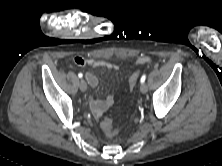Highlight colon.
<instances>
[{
    "instance_id": "1",
    "label": "colon",
    "mask_w": 222,
    "mask_h": 166,
    "mask_svg": "<svg viewBox=\"0 0 222 166\" xmlns=\"http://www.w3.org/2000/svg\"><path fill=\"white\" fill-rule=\"evenodd\" d=\"M138 78H139L138 71H135L130 75V77H129L130 89H133L136 86ZM100 126L108 137H113L117 134V130L115 129V127L113 125V120L110 118H104L101 121Z\"/></svg>"
}]
</instances>
